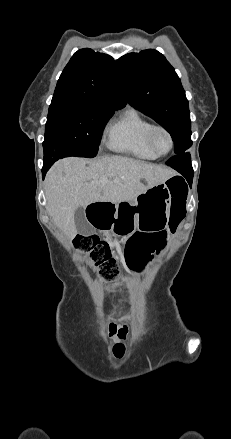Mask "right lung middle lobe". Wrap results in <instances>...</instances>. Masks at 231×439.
Returning <instances> with one entry per match:
<instances>
[{"label":"right lung middle lobe","mask_w":231,"mask_h":439,"mask_svg":"<svg viewBox=\"0 0 231 439\" xmlns=\"http://www.w3.org/2000/svg\"><path fill=\"white\" fill-rule=\"evenodd\" d=\"M117 109L89 104L49 107L44 161L68 156L95 157L103 128Z\"/></svg>","instance_id":"dd1d6c3e"}]
</instances>
